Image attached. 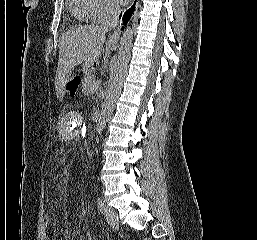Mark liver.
<instances>
[{"mask_svg":"<svg viewBox=\"0 0 257 240\" xmlns=\"http://www.w3.org/2000/svg\"><path fill=\"white\" fill-rule=\"evenodd\" d=\"M105 43V31L95 25L79 26L61 35L55 77L56 95L60 101L63 100L65 85L74 68L81 63L90 66L97 61Z\"/></svg>","mask_w":257,"mask_h":240,"instance_id":"1","label":"liver"}]
</instances>
